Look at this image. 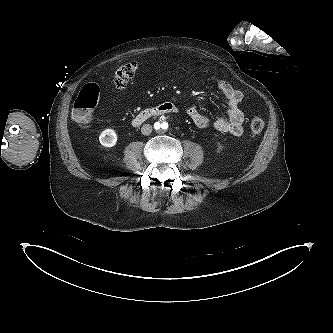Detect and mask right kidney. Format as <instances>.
I'll list each match as a JSON object with an SVG mask.
<instances>
[{"label": "right kidney", "instance_id": "ca27d5eb", "mask_svg": "<svg viewBox=\"0 0 333 333\" xmlns=\"http://www.w3.org/2000/svg\"><path fill=\"white\" fill-rule=\"evenodd\" d=\"M99 141L104 147H113L117 142V134L113 129H106L101 132Z\"/></svg>", "mask_w": 333, "mask_h": 333}]
</instances>
